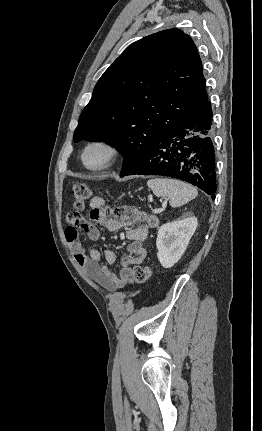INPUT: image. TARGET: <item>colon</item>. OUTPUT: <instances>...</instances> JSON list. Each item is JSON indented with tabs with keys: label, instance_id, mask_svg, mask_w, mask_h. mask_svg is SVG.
I'll return each mask as SVG.
<instances>
[{
	"label": "colon",
	"instance_id": "5ec220e1",
	"mask_svg": "<svg viewBox=\"0 0 262 431\" xmlns=\"http://www.w3.org/2000/svg\"><path fill=\"white\" fill-rule=\"evenodd\" d=\"M91 198V192L87 184L76 183L73 187V207L74 211L69 214L72 222L78 223L81 220V213L86 209ZM153 274L152 266L145 264L136 266L130 278V282L136 284L147 283Z\"/></svg>",
	"mask_w": 262,
	"mask_h": 431
}]
</instances>
